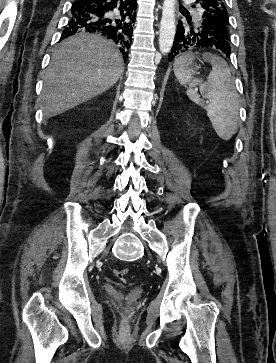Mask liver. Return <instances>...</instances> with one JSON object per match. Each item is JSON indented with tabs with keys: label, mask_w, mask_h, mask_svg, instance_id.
<instances>
[{
	"label": "liver",
	"mask_w": 276,
	"mask_h": 363,
	"mask_svg": "<svg viewBox=\"0 0 276 363\" xmlns=\"http://www.w3.org/2000/svg\"><path fill=\"white\" fill-rule=\"evenodd\" d=\"M124 71L114 44L98 35L78 34L52 54L41 94L46 118L64 113L107 91Z\"/></svg>",
	"instance_id": "6515ba94"
}]
</instances>
